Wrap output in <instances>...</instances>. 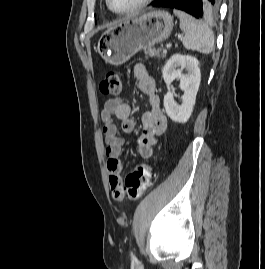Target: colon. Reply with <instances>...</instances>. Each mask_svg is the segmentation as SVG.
<instances>
[{"mask_svg": "<svg viewBox=\"0 0 265 269\" xmlns=\"http://www.w3.org/2000/svg\"><path fill=\"white\" fill-rule=\"evenodd\" d=\"M105 95L118 96L122 92L120 74L115 70L107 72L100 85ZM152 179L151 168L144 164L136 166L125 178V187L120 194V200H136L149 188Z\"/></svg>", "mask_w": 265, "mask_h": 269, "instance_id": "5ec220e1", "label": "colon"}]
</instances>
